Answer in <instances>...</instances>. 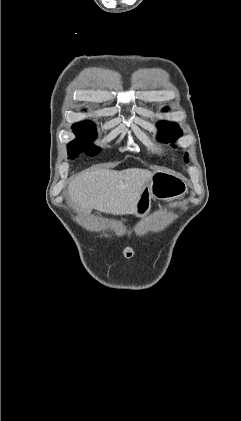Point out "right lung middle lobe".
<instances>
[{
    "label": "right lung middle lobe",
    "mask_w": 241,
    "mask_h": 421,
    "mask_svg": "<svg viewBox=\"0 0 241 421\" xmlns=\"http://www.w3.org/2000/svg\"><path fill=\"white\" fill-rule=\"evenodd\" d=\"M72 130L76 133L77 138L68 144V154L71 158L77 157L79 153L85 152L89 156L99 153L100 149H95L92 141L96 137L95 125L91 124L84 127L73 126Z\"/></svg>",
    "instance_id": "dd1d6c3e"
}]
</instances>
